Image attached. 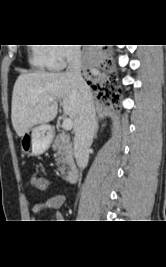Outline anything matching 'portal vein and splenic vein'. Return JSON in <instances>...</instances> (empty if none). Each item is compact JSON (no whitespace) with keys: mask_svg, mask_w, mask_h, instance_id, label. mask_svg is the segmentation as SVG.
Listing matches in <instances>:
<instances>
[{"mask_svg":"<svg viewBox=\"0 0 166 267\" xmlns=\"http://www.w3.org/2000/svg\"><path fill=\"white\" fill-rule=\"evenodd\" d=\"M62 125H63V128L68 131V130L72 129L73 122H72L71 118H65L63 120V124Z\"/></svg>","mask_w":166,"mask_h":267,"instance_id":"obj_1","label":"portal vein and splenic vein"}]
</instances>
